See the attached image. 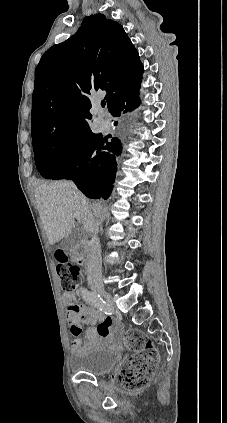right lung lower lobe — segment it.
<instances>
[{"label": "right lung lower lobe", "instance_id": "obj_1", "mask_svg": "<svg viewBox=\"0 0 227 423\" xmlns=\"http://www.w3.org/2000/svg\"><path fill=\"white\" fill-rule=\"evenodd\" d=\"M137 95L128 96L125 100L109 108L111 114L119 117L129 109L136 108L139 104ZM117 125V122L114 123ZM106 143V144H105ZM121 142L112 138L107 142L102 135H95L94 140L81 157L75 172L67 177L75 182L78 188L89 198L107 199L112 191L117 171V156L121 153Z\"/></svg>", "mask_w": 227, "mask_h": 423}]
</instances>
